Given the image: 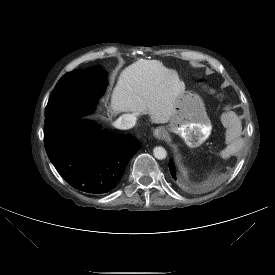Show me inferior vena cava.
<instances>
[{"instance_id": "602c4592", "label": "inferior vena cava", "mask_w": 275, "mask_h": 275, "mask_svg": "<svg viewBox=\"0 0 275 275\" xmlns=\"http://www.w3.org/2000/svg\"><path fill=\"white\" fill-rule=\"evenodd\" d=\"M137 117L135 114H123L115 122L114 126L118 129L127 130L135 126Z\"/></svg>"}]
</instances>
